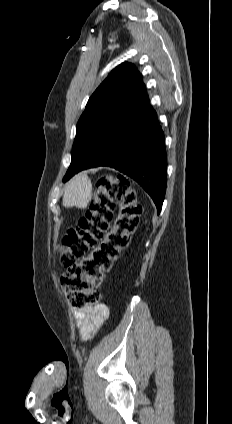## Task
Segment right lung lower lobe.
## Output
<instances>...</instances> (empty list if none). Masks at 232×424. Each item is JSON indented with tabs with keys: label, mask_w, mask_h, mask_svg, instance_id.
<instances>
[{
	"label": "right lung lower lobe",
	"mask_w": 232,
	"mask_h": 424,
	"mask_svg": "<svg viewBox=\"0 0 232 424\" xmlns=\"http://www.w3.org/2000/svg\"><path fill=\"white\" fill-rule=\"evenodd\" d=\"M98 166L113 167L138 182L160 213L166 190L167 156L164 133L149 101L133 108L130 122L113 130L80 171Z\"/></svg>",
	"instance_id": "1"
}]
</instances>
